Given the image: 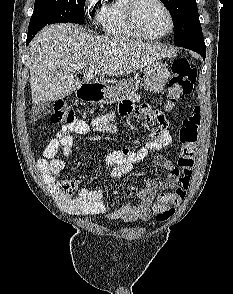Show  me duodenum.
Masks as SVG:
<instances>
[{
	"label": "duodenum",
	"instance_id": "duodenum-1",
	"mask_svg": "<svg viewBox=\"0 0 233 294\" xmlns=\"http://www.w3.org/2000/svg\"><path fill=\"white\" fill-rule=\"evenodd\" d=\"M102 86L99 84H88L81 86L77 92V98L82 101L92 100L101 95Z\"/></svg>",
	"mask_w": 233,
	"mask_h": 294
}]
</instances>
